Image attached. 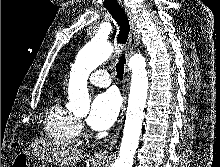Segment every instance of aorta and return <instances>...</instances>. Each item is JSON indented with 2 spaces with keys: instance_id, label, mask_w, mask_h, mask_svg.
I'll return each instance as SVG.
<instances>
[{
  "instance_id": "762f6f07",
  "label": "aorta",
  "mask_w": 220,
  "mask_h": 167,
  "mask_svg": "<svg viewBox=\"0 0 220 167\" xmlns=\"http://www.w3.org/2000/svg\"><path fill=\"white\" fill-rule=\"evenodd\" d=\"M113 47L106 40L94 37L78 53L72 66L68 85V109L86 115L90 108L87 80L90 73L105 62L112 54ZM132 80L125 126L119 156L113 167H132L142 129L144 106L148 91L146 61L141 54H135L128 63Z\"/></svg>"
}]
</instances>
